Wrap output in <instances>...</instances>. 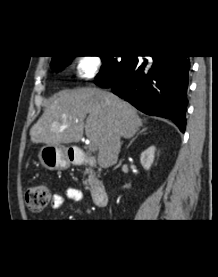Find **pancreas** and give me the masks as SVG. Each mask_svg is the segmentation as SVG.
<instances>
[{"mask_svg": "<svg viewBox=\"0 0 218 277\" xmlns=\"http://www.w3.org/2000/svg\"><path fill=\"white\" fill-rule=\"evenodd\" d=\"M87 173H90V175L88 176V179H86V180L83 182L84 185H86V186L90 185V184L93 182L94 178H95V175L92 174V171H91V170H90V171L88 170Z\"/></svg>", "mask_w": 218, "mask_h": 277, "instance_id": "pancreas-1", "label": "pancreas"}]
</instances>
